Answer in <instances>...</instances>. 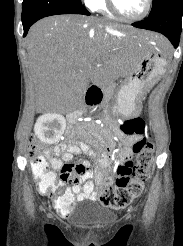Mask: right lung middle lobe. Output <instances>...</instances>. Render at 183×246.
<instances>
[{
    "label": "right lung middle lobe",
    "mask_w": 183,
    "mask_h": 246,
    "mask_svg": "<svg viewBox=\"0 0 183 246\" xmlns=\"http://www.w3.org/2000/svg\"><path fill=\"white\" fill-rule=\"evenodd\" d=\"M78 0H23L22 11L37 7H49L64 2H73Z\"/></svg>",
    "instance_id": "dd1d6c3e"
}]
</instances>
